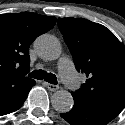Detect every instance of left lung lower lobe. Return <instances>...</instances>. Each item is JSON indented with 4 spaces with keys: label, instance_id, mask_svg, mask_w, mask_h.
<instances>
[{
    "label": "left lung lower lobe",
    "instance_id": "1",
    "mask_svg": "<svg viewBox=\"0 0 125 125\" xmlns=\"http://www.w3.org/2000/svg\"><path fill=\"white\" fill-rule=\"evenodd\" d=\"M71 94L74 98L73 108L60 114L71 125H106L125 107V103L116 100L85 101L80 96Z\"/></svg>",
    "mask_w": 125,
    "mask_h": 125
}]
</instances>
